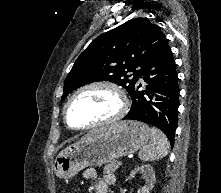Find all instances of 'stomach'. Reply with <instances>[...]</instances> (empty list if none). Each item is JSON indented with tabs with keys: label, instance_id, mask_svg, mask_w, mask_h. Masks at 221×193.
Returning a JSON list of instances; mask_svg holds the SVG:
<instances>
[{
	"label": "stomach",
	"instance_id": "obj_1",
	"mask_svg": "<svg viewBox=\"0 0 221 193\" xmlns=\"http://www.w3.org/2000/svg\"><path fill=\"white\" fill-rule=\"evenodd\" d=\"M150 137L149 126L138 121H123L93 131L58 154L53 165L55 174L69 179L88 166H102L136 152Z\"/></svg>",
	"mask_w": 221,
	"mask_h": 193
}]
</instances>
